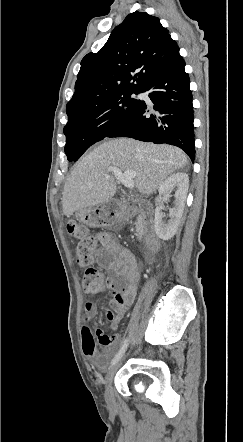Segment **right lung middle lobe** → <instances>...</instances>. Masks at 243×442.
I'll use <instances>...</instances> for the list:
<instances>
[{"label":"right lung middle lobe","mask_w":243,"mask_h":442,"mask_svg":"<svg viewBox=\"0 0 243 442\" xmlns=\"http://www.w3.org/2000/svg\"><path fill=\"white\" fill-rule=\"evenodd\" d=\"M138 93L140 91L115 95L89 110L68 117V123L64 127L68 160L77 161L91 145L107 137L127 119L138 101L132 95Z\"/></svg>","instance_id":"obj_1"}]
</instances>
